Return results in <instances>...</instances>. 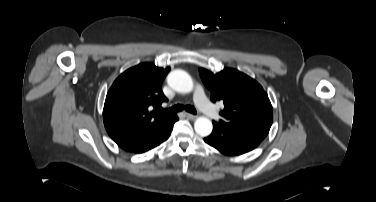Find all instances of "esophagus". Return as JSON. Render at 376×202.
Masks as SVG:
<instances>
[{
    "label": "esophagus",
    "mask_w": 376,
    "mask_h": 202,
    "mask_svg": "<svg viewBox=\"0 0 376 202\" xmlns=\"http://www.w3.org/2000/svg\"><path fill=\"white\" fill-rule=\"evenodd\" d=\"M185 116H186L188 119H190V120H194V119H196V115L191 114V113H185Z\"/></svg>",
    "instance_id": "esophagus-1"
}]
</instances>
